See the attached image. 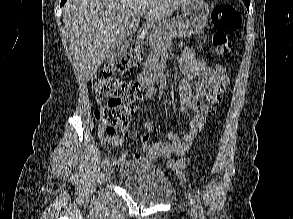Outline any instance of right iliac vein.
I'll list each match as a JSON object with an SVG mask.
<instances>
[{
	"instance_id": "obj_1",
	"label": "right iliac vein",
	"mask_w": 293,
	"mask_h": 219,
	"mask_svg": "<svg viewBox=\"0 0 293 219\" xmlns=\"http://www.w3.org/2000/svg\"><path fill=\"white\" fill-rule=\"evenodd\" d=\"M112 172H113V168H112V166H111V165H108V166L105 168V172H104V178H105V181H107V180L110 178Z\"/></svg>"
}]
</instances>
